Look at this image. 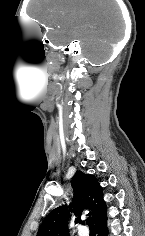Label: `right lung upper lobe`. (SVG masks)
Returning <instances> with one entry per match:
<instances>
[{
	"instance_id": "1",
	"label": "right lung upper lobe",
	"mask_w": 145,
	"mask_h": 236,
	"mask_svg": "<svg viewBox=\"0 0 145 236\" xmlns=\"http://www.w3.org/2000/svg\"><path fill=\"white\" fill-rule=\"evenodd\" d=\"M74 197L72 199V208L68 206H59L52 210L44 219L37 236H69L68 219L70 211L76 214L83 209H91L94 223L98 222L106 215L107 208L103 199L102 188L93 175L84 174L77 171L72 179ZM76 223H83L80 216L76 218Z\"/></svg>"
}]
</instances>
